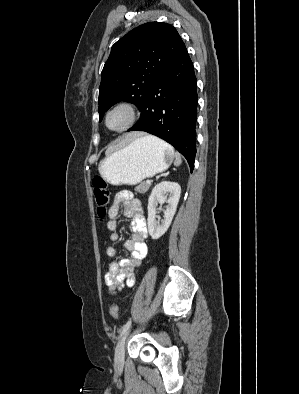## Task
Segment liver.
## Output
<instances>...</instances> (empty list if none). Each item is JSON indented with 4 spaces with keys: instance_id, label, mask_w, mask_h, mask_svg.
<instances>
[{
    "instance_id": "liver-1",
    "label": "liver",
    "mask_w": 299,
    "mask_h": 394,
    "mask_svg": "<svg viewBox=\"0 0 299 394\" xmlns=\"http://www.w3.org/2000/svg\"><path fill=\"white\" fill-rule=\"evenodd\" d=\"M142 135L143 134H141V133H130V134H127L125 136V138L123 139V144H127L130 141H132V140H134V139H136V138H138V137H140Z\"/></svg>"
}]
</instances>
